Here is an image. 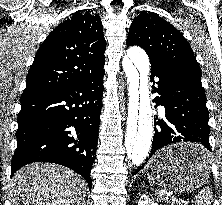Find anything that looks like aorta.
I'll use <instances>...</instances> for the list:
<instances>
[{
	"instance_id": "1",
	"label": "aorta",
	"mask_w": 222,
	"mask_h": 205,
	"mask_svg": "<svg viewBox=\"0 0 222 205\" xmlns=\"http://www.w3.org/2000/svg\"><path fill=\"white\" fill-rule=\"evenodd\" d=\"M128 77L129 109L123 145L124 157L133 166L141 165L148 156L152 144L153 117L148 75L150 62L140 47H131L123 59Z\"/></svg>"
}]
</instances>
